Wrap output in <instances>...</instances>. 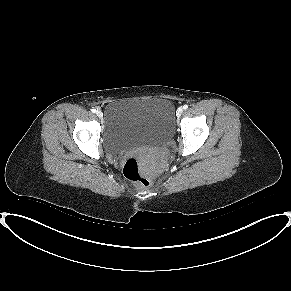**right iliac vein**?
Masks as SVG:
<instances>
[{"mask_svg": "<svg viewBox=\"0 0 291 291\" xmlns=\"http://www.w3.org/2000/svg\"><path fill=\"white\" fill-rule=\"evenodd\" d=\"M96 114H97V116H98L99 118H101V117L103 116V113H102V111H100V110H98Z\"/></svg>", "mask_w": 291, "mask_h": 291, "instance_id": "1", "label": "right iliac vein"}]
</instances>
